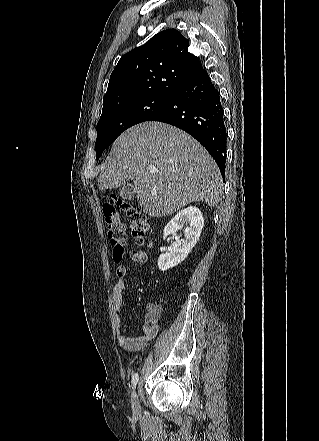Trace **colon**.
Wrapping results in <instances>:
<instances>
[{"mask_svg":"<svg viewBox=\"0 0 319 441\" xmlns=\"http://www.w3.org/2000/svg\"><path fill=\"white\" fill-rule=\"evenodd\" d=\"M117 207H120L127 214L130 226V233L133 239L142 243L149 229L146 216L136 209L132 204L111 195L103 204L104 223L107 229L109 243L113 248V259L119 262L124 253V247L127 240L124 224L120 221Z\"/></svg>","mask_w":319,"mask_h":441,"instance_id":"5ec220e1","label":"colon"}]
</instances>
